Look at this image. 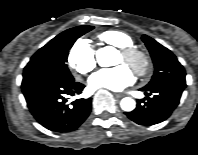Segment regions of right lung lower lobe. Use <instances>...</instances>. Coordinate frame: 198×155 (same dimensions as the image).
Segmentation results:
<instances>
[{
	"label": "right lung lower lobe",
	"mask_w": 198,
	"mask_h": 155,
	"mask_svg": "<svg viewBox=\"0 0 198 155\" xmlns=\"http://www.w3.org/2000/svg\"><path fill=\"white\" fill-rule=\"evenodd\" d=\"M22 92L34 118L55 132L76 130L91 111V98L68 103L69 96L81 94L84 85L73 81L32 75L23 77Z\"/></svg>",
	"instance_id": "1"
}]
</instances>
